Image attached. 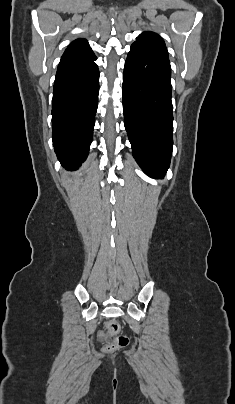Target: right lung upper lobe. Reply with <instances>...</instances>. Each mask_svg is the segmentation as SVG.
<instances>
[{
  "label": "right lung upper lobe",
  "mask_w": 235,
  "mask_h": 404,
  "mask_svg": "<svg viewBox=\"0 0 235 404\" xmlns=\"http://www.w3.org/2000/svg\"><path fill=\"white\" fill-rule=\"evenodd\" d=\"M95 56L85 39L73 41L65 50L61 61L83 60Z\"/></svg>",
  "instance_id": "obj_1"
}]
</instances>
